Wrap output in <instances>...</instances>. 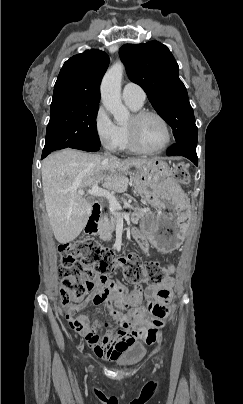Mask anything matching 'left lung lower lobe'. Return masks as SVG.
<instances>
[{
    "instance_id": "0a47b994",
    "label": "left lung lower lobe",
    "mask_w": 243,
    "mask_h": 404,
    "mask_svg": "<svg viewBox=\"0 0 243 404\" xmlns=\"http://www.w3.org/2000/svg\"><path fill=\"white\" fill-rule=\"evenodd\" d=\"M197 142L182 141L176 142L168 149L167 155H180L191 160L196 166L198 165V158L196 154Z\"/></svg>"
}]
</instances>
